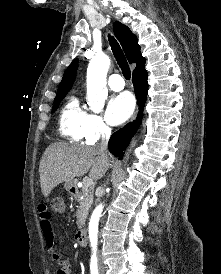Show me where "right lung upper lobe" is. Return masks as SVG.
<instances>
[{"instance_id": "right-lung-upper-lobe-1", "label": "right lung upper lobe", "mask_w": 221, "mask_h": 274, "mask_svg": "<svg viewBox=\"0 0 221 274\" xmlns=\"http://www.w3.org/2000/svg\"><path fill=\"white\" fill-rule=\"evenodd\" d=\"M114 34L119 40L129 63H136V68L134 73L142 71L145 69V58L142 57L140 53V46L138 45V40L136 36L130 31V29L120 22H115L113 25ZM78 68V59L73 60L69 65L68 69L65 71L62 81L58 87L57 95L67 94L71 89L75 76L76 70Z\"/></svg>"}]
</instances>
